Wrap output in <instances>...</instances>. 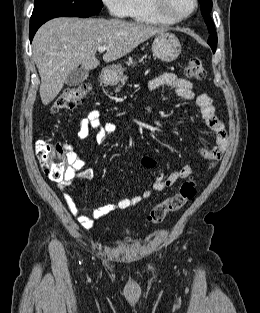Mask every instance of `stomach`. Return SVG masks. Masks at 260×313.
<instances>
[{"label":"stomach","mask_w":260,"mask_h":313,"mask_svg":"<svg viewBox=\"0 0 260 313\" xmlns=\"http://www.w3.org/2000/svg\"><path fill=\"white\" fill-rule=\"evenodd\" d=\"M153 54L160 60L171 62L177 59L181 53L179 39L170 32L157 33L153 44ZM124 68L119 65L107 67L103 72V80L108 84H115L121 80Z\"/></svg>","instance_id":"stomach-1"}]
</instances>
